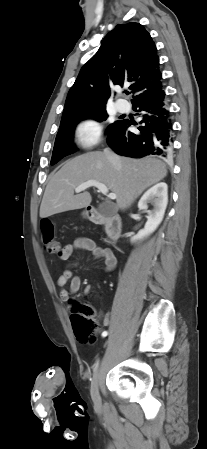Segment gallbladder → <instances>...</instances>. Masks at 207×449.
Masks as SVG:
<instances>
[{"label": "gallbladder", "instance_id": "1", "mask_svg": "<svg viewBox=\"0 0 207 449\" xmlns=\"http://www.w3.org/2000/svg\"><path fill=\"white\" fill-rule=\"evenodd\" d=\"M99 211L106 216H110L113 214L112 208L104 204L99 206Z\"/></svg>", "mask_w": 207, "mask_h": 449}]
</instances>
